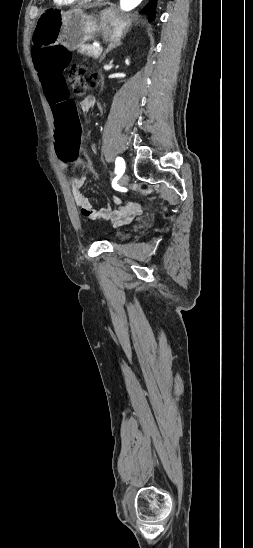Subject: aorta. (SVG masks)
<instances>
[{
    "label": "aorta",
    "mask_w": 253,
    "mask_h": 548,
    "mask_svg": "<svg viewBox=\"0 0 253 548\" xmlns=\"http://www.w3.org/2000/svg\"><path fill=\"white\" fill-rule=\"evenodd\" d=\"M142 0H120V8L123 11H130L137 7Z\"/></svg>",
    "instance_id": "762f6f07"
}]
</instances>
